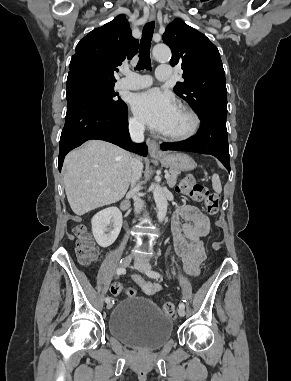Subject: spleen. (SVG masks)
I'll list each match as a JSON object with an SVG mask.
<instances>
[{"label": "spleen", "mask_w": 291, "mask_h": 381, "mask_svg": "<svg viewBox=\"0 0 291 381\" xmlns=\"http://www.w3.org/2000/svg\"><path fill=\"white\" fill-rule=\"evenodd\" d=\"M212 187L216 193L222 192L221 181H220L219 175L217 174H213L212 176Z\"/></svg>", "instance_id": "1"}]
</instances>
